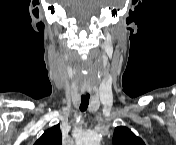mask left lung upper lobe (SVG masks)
<instances>
[{"instance_id": "left-lung-upper-lobe-1", "label": "left lung upper lobe", "mask_w": 176, "mask_h": 145, "mask_svg": "<svg viewBox=\"0 0 176 145\" xmlns=\"http://www.w3.org/2000/svg\"><path fill=\"white\" fill-rule=\"evenodd\" d=\"M114 145H145L143 140L137 137L130 129L119 126L115 128L113 135Z\"/></svg>"}]
</instances>
